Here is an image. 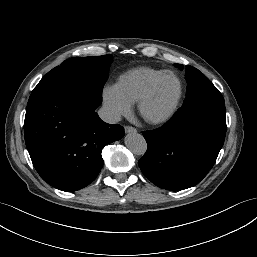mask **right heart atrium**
Segmentation results:
<instances>
[{
    "label": "right heart atrium",
    "instance_id": "1",
    "mask_svg": "<svg viewBox=\"0 0 257 257\" xmlns=\"http://www.w3.org/2000/svg\"><path fill=\"white\" fill-rule=\"evenodd\" d=\"M103 106L107 116L117 120L121 116L130 114L132 105L129 104L114 87H106L102 92Z\"/></svg>",
    "mask_w": 257,
    "mask_h": 257
}]
</instances>
